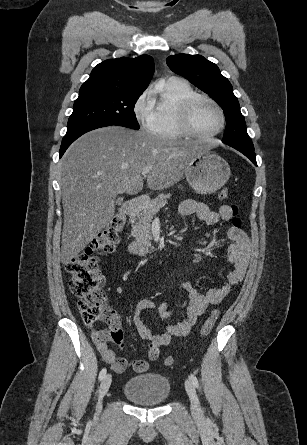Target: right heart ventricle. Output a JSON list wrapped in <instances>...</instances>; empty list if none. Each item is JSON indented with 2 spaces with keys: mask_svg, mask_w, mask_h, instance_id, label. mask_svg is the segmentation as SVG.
Listing matches in <instances>:
<instances>
[{
  "mask_svg": "<svg viewBox=\"0 0 307 445\" xmlns=\"http://www.w3.org/2000/svg\"><path fill=\"white\" fill-rule=\"evenodd\" d=\"M195 94L188 83L179 80L167 81L156 88L150 108L154 113L152 131L161 136L158 140H188L177 109Z\"/></svg>",
  "mask_w": 307,
  "mask_h": 445,
  "instance_id": "right-heart-ventricle-1",
  "label": "right heart ventricle"
}]
</instances>
